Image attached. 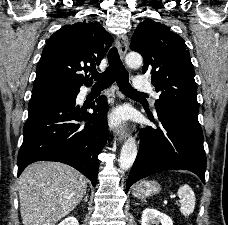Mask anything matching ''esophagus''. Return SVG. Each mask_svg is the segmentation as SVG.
<instances>
[{
	"mask_svg": "<svg viewBox=\"0 0 228 225\" xmlns=\"http://www.w3.org/2000/svg\"><path fill=\"white\" fill-rule=\"evenodd\" d=\"M128 46H129V40H128L127 35H124V34L119 35L116 39V47L119 52L121 60L124 59L126 52L128 50ZM127 136H128V132L125 130V128L123 126H119L116 129L117 140H119V141L125 140L127 138Z\"/></svg>",
	"mask_w": 228,
	"mask_h": 225,
	"instance_id": "esophagus-1",
	"label": "esophagus"
}]
</instances>
